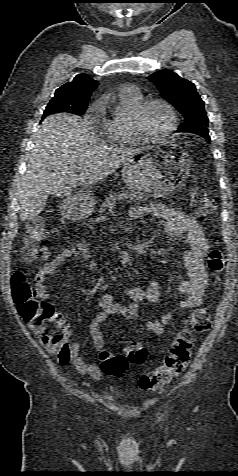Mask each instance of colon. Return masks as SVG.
Masks as SVG:
<instances>
[{"label":"colon","mask_w":238,"mask_h":476,"mask_svg":"<svg viewBox=\"0 0 238 476\" xmlns=\"http://www.w3.org/2000/svg\"><path fill=\"white\" fill-rule=\"evenodd\" d=\"M190 201L193 210L201 218L211 216L216 210L214 200L202 188L192 190ZM46 237L47 231L43 222L38 219L31 221L22 248V258L26 261L47 258L50 249ZM226 261L224 250L215 247L210 249L207 266L214 275L224 270ZM11 290L19 314L36 334L40 343L56 355H65L69 346V325L55 313L54 307L49 302L38 299L35 287L28 282L23 273L17 272L12 276ZM187 322L188 327L176 335L162 362L139 378L138 384L141 389L156 390L184 372L191 359L193 332L202 333L210 329L209 309L204 306L195 308ZM146 357L147 348L143 343L127 341L121 354H112L106 350L100 352L101 368L107 375L122 377L129 363H143Z\"/></svg>","instance_id":"1"}]
</instances>
